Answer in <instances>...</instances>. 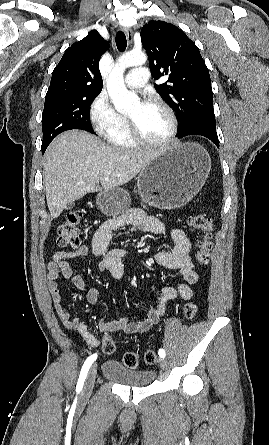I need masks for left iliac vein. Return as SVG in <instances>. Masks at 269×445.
Returning a JSON list of instances; mask_svg holds the SVG:
<instances>
[{
	"label": "left iliac vein",
	"mask_w": 269,
	"mask_h": 445,
	"mask_svg": "<svg viewBox=\"0 0 269 445\" xmlns=\"http://www.w3.org/2000/svg\"><path fill=\"white\" fill-rule=\"evenodd\" d=\"M160 367L163 370H166L168 368V362H167V360L165 358H161L160 359Z\"/></svg>",
	"instance_id": "obj_1"
}]
</instances>
